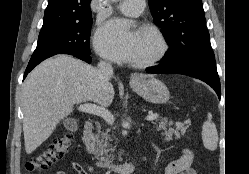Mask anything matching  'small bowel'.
Masks as SVG:
<instances>
[{
	"instance_id": "1",
	"label": "small bowel",
	"mask_w": 249,
	"mask_h": 174,
	"mask_svg": "<svg viewBox=\"0 0 249 174\" xmlns=\"http://www.w3.org/2000/svg\"><path fill=\"white\" fill-rule=\"evenodd\" d=\"M193 154L190 150L184 149L181 156L171 162L166 168L161 170L162 174H197L195 169L192 167ZM71 167L78 174H87L82 165L77 162H72ZM91 171V168H88ZM55 174H66L63 171H57Z\"/></svg>"
}]
</instances>
